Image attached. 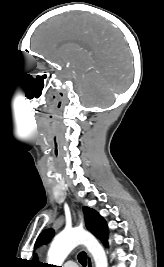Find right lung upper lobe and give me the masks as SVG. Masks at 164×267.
I'll use <instances>...</instances> for the list:
<instances>
[{
  "mask_svg": "<svg viewBox=\"0 0 164 267\" xmlns=\"http://www.w3.org/2000/svg\"><path fill=\"white\" fill-rule=\"evenodd\" d=\"M34 262H35L36 264L39 263V262H37V256H35V258H34Z\"/></svg>",
  "mask_w": 164,
  "mask_h": 267,
  "instance_id": "cb5924a9",
  "label": "right lung upper lobe"
}]
</instances>
